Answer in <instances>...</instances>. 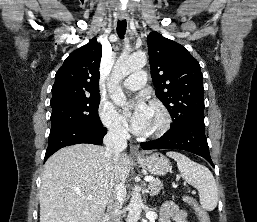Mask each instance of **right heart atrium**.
I'll list each match as a JSON object with an SVG mask.
<instances>
[{"label":"right heart atrium","mask_w":257,"mask_h":222,"mask_svg":"<svg viewBox=\"0 0 257 222\" xmlns=\"http://www.w3.org/2000/svg\"><path fill=\"white\" fill-rule=\"evenodd\" d=\"M99 119L114 137L125 138L127 132L116 109L109 103L101 102L98 108Z\"/></svg>","instance_id":"obj_1"}]
</instances>
